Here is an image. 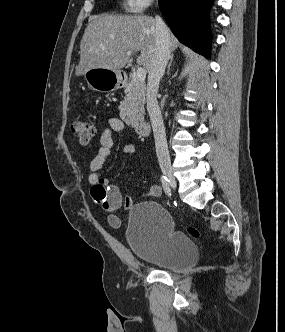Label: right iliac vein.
I'll list each match as a JSON object with an SVG mask.
<instances>
[{
	"mask_svg": "<svg viewBox=\"0 0 285 332\" xmlns=\"http://www.w3.org/2000/svg\"><path fill=\"white\" fill-rule=\"evenodd\" d=\"M161 169H162V172L164 175H166L169 179V185L175 189L176 186H177V183H176V180H175V177L173 176V171H172V168L170 165H167V164H163L161 166Z\"/></svg>",
	"mask_w": 285,
	"mask_h": 332,
	"instance_id": "right-iliac-vein-1",
	"label": "right iliac vein"
}]
</instances>
